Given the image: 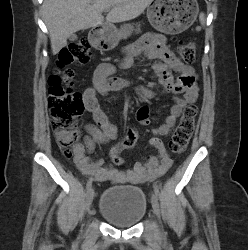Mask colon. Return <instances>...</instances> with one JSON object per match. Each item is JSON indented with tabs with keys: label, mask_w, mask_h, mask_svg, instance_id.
<instances>
[{
	"label": "colon",
	"mask_w": 248,
	"mask_h": 250,
	"mask_svg": "<svg viewBox=\"0 0 248 250\" xmlns=\"http://www.w3.org/2000/svg\"><path fill=\"white\" fill-rule=\"evenodd\" d=\"M178 50L181 58L186 63L196 60V45L194 42H180ZM92 57L88 39L81 38L66 46L59 54L57 68L49 77L48 105L52 117V126L62 154L66 158H72L76 153V141L78 131L77 120L85 111L83 97L72 89L70 77L72 71L67 67L73 63L85 64ZM197 108L195 105H187L183 111L178 125L170 141V149L173 153L183 152L194 132ZM134 145L127 137L116 144L112 150V161L116 165L122 164L119 153Z\"/></svg>",
	"instance_id": "5ec220e1"
}]
</instances>
